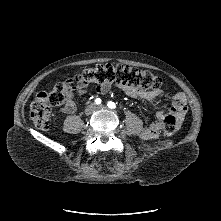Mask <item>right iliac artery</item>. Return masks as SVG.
<instances>
[{"mask_svg":"<svg viewBox=\"0 0 221 221\" xmlns=\"http://www.w3.org/2000/svg\"><path fill=\"white\" fill-rule=\"evenodd\" d=\"M95 103L96 104H100L101 103V99L100 98H96Z\"/></svg>","mask_w":221,"mask_h":221,"instance_id":"obj_1","label":"right iliac artery"}]
</instances>
